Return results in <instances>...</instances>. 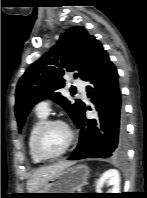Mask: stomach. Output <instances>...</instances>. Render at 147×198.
<instances>
[{"instance_id": "1", "label": "stomach", "mask_w": 147, "mask_h": 198, "mask_svg": "<svg viewBox=\"0 0 147 198\" xmlns=\"http://www.w3.org/2000/svg\"><path fill=\"white\" fill-rule=\"evenodd\" d=\"M88 176L89 170L84 165L67 167L33 192L31 197L58 198L63 197V194L50 193H74L75 190L87 183Z\"/></svg>"}]
</instances>
